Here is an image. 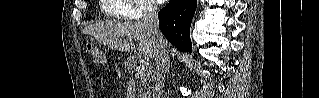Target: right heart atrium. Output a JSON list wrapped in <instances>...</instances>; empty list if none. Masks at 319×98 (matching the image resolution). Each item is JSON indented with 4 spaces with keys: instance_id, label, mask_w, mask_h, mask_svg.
<instances>
[{
    "instance_id": "right-heart-atrium-1",
    "label": "right heart atrium",
    "mask_w": 319,
    "mask_h": 98,
    "mask_svg": "<svg viewBox=\"0 0 319 98\" xmlns=\"http://www.w3.org/2000/svg\"><path fill=\"white\" fill-rule=\"evenodd\" d=\"M129 7L124 11L122 17L126 19H141L149 17L157 12V8L146 0H127Z\"/></svg>"
}]
</instances>
